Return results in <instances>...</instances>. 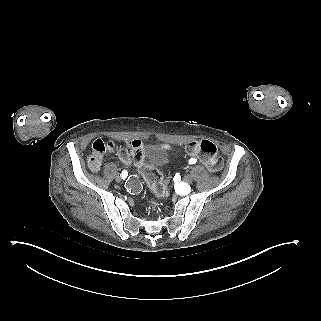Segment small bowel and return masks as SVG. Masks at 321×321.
Listing matches in <instances>:
<instances>
[{"label":"small bowel","mask_w":321,"mask_h":321,"mask_svg":"<svg viewBox=\"0 0 321 321\" xmlns=\"http://www.w3.org/2000/svg\"><path fill=\"white\" fill-rule=\"evenodd\" d=\"M161 148L165 149V150H176L173 146H171L170 144H167V143L161 144Z\"/></svg>","instance_id":"obj_1"}]
</instances>
